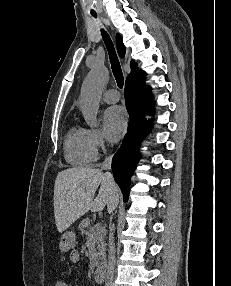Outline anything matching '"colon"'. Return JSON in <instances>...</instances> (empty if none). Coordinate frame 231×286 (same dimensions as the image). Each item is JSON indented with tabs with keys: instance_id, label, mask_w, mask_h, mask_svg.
I'll return each mask as SVG.
<instances>
[{
	"instance_id": "1",
	"label": "colon",
	"mask_w": 231,
	"mask_h": 286,
	"mask_svg": "<svg viewBox=\"0 0 231 286\" xmlns=\"http://www.w3.org/2000/svg\"><path fill=\"white\" fill-rule=\"evenodd\" d=\"M54 286H71L69 282L65 280H58L55 282Z\"/></svg>"
}]
</instances>
